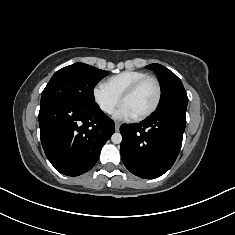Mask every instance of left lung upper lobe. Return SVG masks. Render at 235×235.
Returning a JSON list of instances; mask_svg holds the SVG:
<instances>
[{
  "mask_svg": "<svg viewBox=\"0 0 235 235\" xmlns=\"http://www.w3.org/2000/svg\"><path fill=\"white\" fill-rule=\"evenodd\" d=\"M146 68L155 72L161 84L162 98L155 113L169 109L186 110L188 97L181 80L172 71L160 64H150Z\"/></svg>",
  "mask_w": 235,
  "mask_h": 235,
  "instance_id": "5c2ea615",
  "label": "left lung upper lobe"
}]
</instances>
